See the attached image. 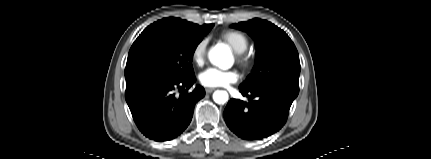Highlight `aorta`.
<instances>
[{"mask_svg": "<svg viewBox=\"0 0 431 159\" xmlns=\"http://www.w3.org/2000/svg\"><path fill=\"white\" fill-rule=\"evenodd\" d=\"M208 57L213 65L226 68L230 64L231 52L224 45H216L209 51ZM213 100L218 104H224L228 101V93L226 91L217 90L213 94Z\"/></svg>", "mask_w": 431, "mask_h": 159, "instance_id": "1", "label": "aorta"}]
</instances>
